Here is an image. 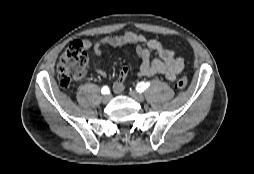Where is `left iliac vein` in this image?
I'll list each match as a JSON object with an SVG mask.
<instances>
[{"mask_svg": "<svg viewBox=\"0 0 254 174\" xmlns=\"http://www.w3.org/2000/svg\"><path fill=\"white\" fill-rule=\"evenodd\" d=\"M129 95L135 99L137 102H143L144 101V95L135 91H130Z\"/></svg>", "mask_w": 254, "mask_h": 174, "instance_id": "4c4485c4", "label": "left iliac vein"}]
</instances>
